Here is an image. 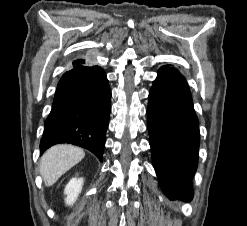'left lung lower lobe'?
I'll list each match as a JSON object with an SVG mask.
<instances>
[{"instance_id":"1","label":"left lung lower lobe","mask_w":247,"mask_h":226,"mask_svg":"<svg viewBox=\"0 0 247 226\" xmlns=\"http://www.w3.org/2000/svg\"><path fill=\"white\" fill-rule=\"evenodd\" d=\"M152 160L169 198L191 200L197 168L199 122L185 78L162 66L149 94L147 109Z\"/></svg>"}]
</instances>
